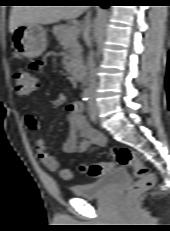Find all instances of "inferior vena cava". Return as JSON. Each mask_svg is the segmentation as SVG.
Returning <instances> with one entry per match:
<instances>
[{"label":"inferior vena cava","mask_w":170,"mask_h":231,"mask_svg":"<svg viewBox=\"0 0 170 231\" xmlns=\"http://www.w3.org/2000/svg\"><path fill=\"white\" fill-rule=\"evenodd\" d=\"M90 16L91 13L88 12L87 16L85 18V29L86 31H89L90 29ZM86 45L91 48L92 43L91 41L87 38L86 39ZM88 70H89V77H88V81H89V91L90 92H94L95 90V62H94V52L92 50H90L89 55H88Z\"/></svg>","instance_id":"inferior-vena-cava-1"}]
</instances>
